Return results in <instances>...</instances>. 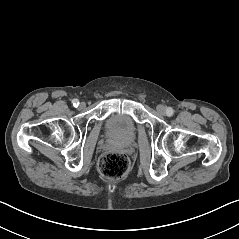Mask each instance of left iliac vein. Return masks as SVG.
<instances>
[{
    "label": "left iliac vein",
    "mask_w": 239,
    "mask_h": 239,
    "mask_svg": "<svg viewBox=\"0 0 239 239\" xmlns=\"http://www.w3.org/2000/svg\"><path fill=\"white\" fill-rule=\"evenodd\" d=\"M157 111H158L160 114H162V115H165V114H166V108H165V106H163V105H158V106H157Z\"/></svg>",
    "instance_id": "obj_1"
}]
</instances>
